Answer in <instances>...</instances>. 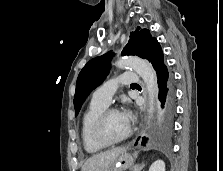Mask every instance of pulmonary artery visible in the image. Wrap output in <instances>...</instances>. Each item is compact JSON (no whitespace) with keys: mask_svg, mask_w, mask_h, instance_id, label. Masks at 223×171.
I'll return each instance as SVG.
<instances>
[{"mask_svg":"<svg viewBox=\"0 0 223 171\" xmlns=\"http://www.w3.org/2000/svg\"><path fill=\"white\" fill-rule=\"evenodd\" d=\"M139 81V76L134 72H125L115 79H111L101 85L93 93L92 100L109 105L118 87L121 85H131Z\"/></svg>","mask_w":223,"mask_h":171,"instance_id":"obj_1","label":"pulmonary artery"}]
</instances>
